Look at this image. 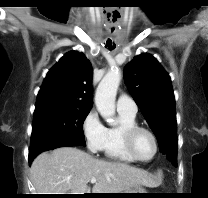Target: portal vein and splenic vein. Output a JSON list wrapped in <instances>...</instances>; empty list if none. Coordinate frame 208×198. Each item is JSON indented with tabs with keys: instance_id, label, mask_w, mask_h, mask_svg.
I'll return each instance as SVG.
<instances>
[{
	"instance_id": "18ae733b",
	"label": "portal vein and splenic vein",
	"mask_w": 208,
	"mask_h": 198,
	"mask_svg": "<svg viewBox=\"0 0 208 198\" xmlns=\"http://www.w3.org/2000/svg\"><path fill=\"white\" fill-rule=\"evenodd\" d=\"M96 182V179L95 178H92L91 179V183H95Z\"/></svg>"
}]
</instances>
